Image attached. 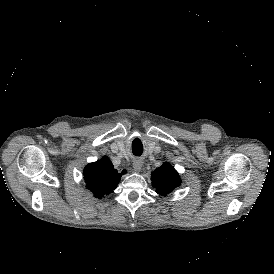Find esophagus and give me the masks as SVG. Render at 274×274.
<instances>
[{
	"mask_svg": "<svg viewBox=\"0 0 274 274\" xmlns=\"http://www.w3.org/2000/svg\"><path fill=\"white\" fill-rule=\"evenodd\" d=\"M143 162L141 159H134L133 160V168L135 171L139 172L142 169Z\"/></svg>",
	"mask_w": 274,
	"mask_h": 274,
	"instance_id": "esophagus-1",
	"label": "esophagus"
}]
</instances>
